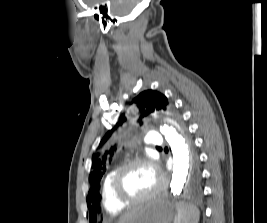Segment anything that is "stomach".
Instances as JSON below:
<instances>
[{
	"label": "stomach",
	"mask_w": 267,
	"mask_h": 223,
	"mask_svg": "<svg viewBox=\"0 0 267 223\" xmlns=\"http://www.w3.org/2000/svg\"><path fill=\"white\" fill-rule=\"evenodd\" d=\"M175 204L166 196L146 201L125 223H173Z\"/></svg>",
	"instance_id": "obj_1"
}]
</instances>
